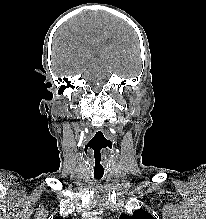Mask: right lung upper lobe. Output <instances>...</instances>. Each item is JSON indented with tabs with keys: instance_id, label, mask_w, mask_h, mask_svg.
I'll return each instance as SVG.
<instances>
[{
	"instance_id": "obj_1",
	"label": "right lung upper lobe",
	"mask_w": 206,
	"mask_h": 219,
	"mask_svg": "<svg viewBox=\"0 0 206 219\" xmlns=\"http://www.w3.org/2000/svg\"><path fill=\"white\" fill-rule=\"evenodd\" d=\"M54 219H61V218H59V217H55ZM68 219H71V218H68Z\"/></svg>"
}]
</instances>
